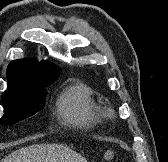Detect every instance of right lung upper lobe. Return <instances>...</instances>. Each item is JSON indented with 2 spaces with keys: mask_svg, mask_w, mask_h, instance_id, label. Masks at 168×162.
Listing matches in <instances>:
<instances>
[{
  "mask_svg": "<svg viewBox=\"0 0 168 162\" xmlns=\"http://www.w3.org/2000/svg\"><path fill=\"white\" fill-rule=\"evenodd\" d=\"M60 72L57 66L46 61L38 63L32 59L13 60L7 68L8 89L4 93L24 84L54 82Z\"/></svg>",
  "mask_w": 168,
  "mask_h": 162,
  "instance_id": "obj_1",
  "label": "right lung upper lobe"
}]
</instances>
